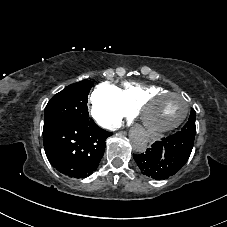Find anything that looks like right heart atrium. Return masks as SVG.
Masks as SVG:
<instances>
[{
  "label": "right heart atrium",
  "mask_w": 227,
  "mask_h": 227,
  "mask_svg": "<svg viewBox=\"0 0 227 227\" xmlns=\"http://www.w3.org/2000/svg\"><path fill=\"white\" fill-rule=\"evenodd\" d=\"M91 115L103 128L119 127L129 110L121 99L120 89L110 82H102L91 93Z\"/></svg>",
  "instance_id": "obj_1"
}]
</instances>
